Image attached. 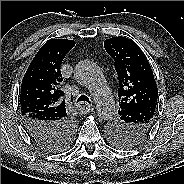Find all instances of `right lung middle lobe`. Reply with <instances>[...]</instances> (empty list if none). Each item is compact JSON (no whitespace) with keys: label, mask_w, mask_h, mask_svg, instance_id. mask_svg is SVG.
Returning a JSON list of instances; mask_svg holds the SVG:
<instances>
[{"label":"right lung middle lobe","mask_w":184,"mask_h":184,"mask_svg":"<svg viewBox=\"0 0 184 184\" xmlns=\"http://www.w3.org/2000/svg\"><path fill=\"white\" fill-rule=\"evenodd\" d=\"M74 131H70V133L67 135V138H65L64 142L61 145H53V146H49L46 147L49 150H61L62 148H64L65 146H67V144L70 142L72 135H73Z\"/></svg>","instance_id":"dd1d6c3e"}]
</instances>
